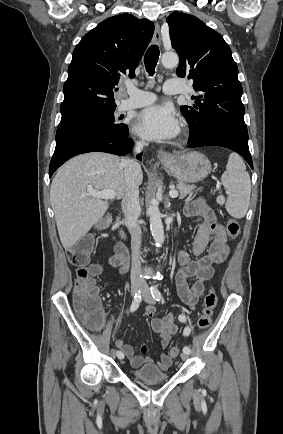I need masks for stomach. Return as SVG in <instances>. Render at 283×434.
Returning a JSON list of instances; mask_svg holds the SVG:
<instances>
[{
  "mask_svg": "<svg viewBox=\"0 0 283 434\" xmlns=\"http://www.w3.org/2000/svg\"><path fill=\"white\" fill-rule=\"evenodd\" d=\"M165 168L179 181L197 183L211 172V162L199 152H187L162 159Z\"/></svg>",
  "mask_w": 283,
  "mask_h": 434,
  "instance_id": "obj_1",
  "label": "stomach"
}]
</instances>
